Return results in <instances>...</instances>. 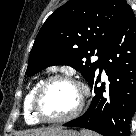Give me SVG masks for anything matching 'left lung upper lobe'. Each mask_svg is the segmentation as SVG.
<instances>
[{"label":"left lung upper lobe","instance_id":"obj_1","mask_svg":"<svg viewBox=\"0 0 136 136\" xmlns=\"http://www.w3.org/2000/svg\"><path fill=\"white\" fill-rule=\"evenodd\" d=\"M131 7L124 0H69L41 27L26 74L52 65H69L89 82L110 39ZM97 55L95 62L90 56Z\"/></svg>","mask_w":136,"mask_h":136}]
</instances>
